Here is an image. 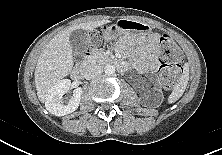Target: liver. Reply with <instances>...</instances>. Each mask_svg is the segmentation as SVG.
Returning <instances> with one entry per match:
<instances>
[{
	"instance_id": "1",
	"label": "liver",
	"mask_w": 222,
	"mask_h": 155,
	"mask_svg": "<svg viewBox=\"0 0 222 155\" xmlns=\"http://www.w3.org/2000/svg\"><path fill=\"white\" fill-rule=\"evenodd\" d=\"M109 22L107 19H102L69 27L46 44L35 68V86L41 102L46 101L50 88L68 76L73 69V49L70 44L72 32L78 29L90 31Z\"/></svg>"
}]
</instances>
